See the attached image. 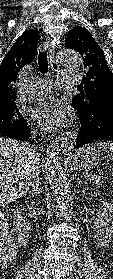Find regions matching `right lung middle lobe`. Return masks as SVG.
I'll use <instances>...</instances> for the list:
<instances>
[{"instance_id": "right-lung-middle-lobe-1", "label": "right lung middle lobe", "mask_w": 113, "mask_h": 279, "mask_svg": "<svg viewBox=\"0 0 113 279\" xmlns=\"http://www.w3.org/2000/svg\"><path fill=\"white\" fill-rule=\"evenodd\" d=\"M26 123L15 103L0 108V130Z\"/></svg>"}]
</instances>
